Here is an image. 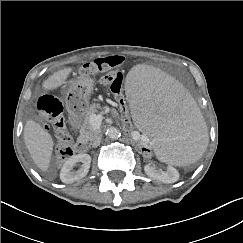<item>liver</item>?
Masks as SVG:
<instances>
[{
  "label": "liver",
  "mask_w": 243,
  "mask_h": 243,
  "mask_svg": "<svg viewBox=\"0 0 243 243\" xmlns=\"http://www.w3.org/2000/svg\"><path fill=\"white\" fill-rule=\"evenodd\" d=\"M72 70V67H67L57 71L44 81L43 88L54 90L62 86ZM24 141L36 166L46 172L50 166L53 152L52 136L39 123L29 119L24 127Z\"/></svg>",
  "instance_id": "6515ba94"
}]
</instances>
